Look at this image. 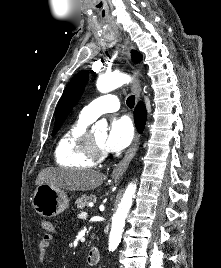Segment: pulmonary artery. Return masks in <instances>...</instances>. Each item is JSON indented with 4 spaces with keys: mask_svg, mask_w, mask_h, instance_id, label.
I'll return each instance as SVG.
<instances>
[{
    "mask_svg": "<svg viewBox=\"0 0 221 268\" xmlns=\"http://www.w3.org/2000/svg\"><path fill=\"white\" fill-rule=\"evenodd\" d=\"M120 107L119 98L114 94L103 95L85 106L81 114L91 121L96 120L101 114L115 112Z\"/></svg>",
    "mask_w": 221,
    "mask_h": 268,
    "instance_id": "obj_1",
    "label": "pulmonary artery"
}]
</instances>
